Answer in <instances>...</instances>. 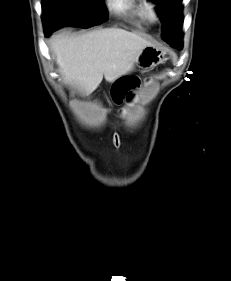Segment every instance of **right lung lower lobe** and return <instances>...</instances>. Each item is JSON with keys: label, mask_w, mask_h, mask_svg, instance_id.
Segmentation results:
<instances>
[{"label": "right lung lower lobe", "mask_w": 231, "mask_h": 281, "mask_svg": "<svg viewBox=\"0 0 231 281\" xmlns=\"http://www.w3.org/2000/svg\"><path fill=\"white\" fill-rule=\"evenodd\" d=\"M51 32H53V31L49 30V29H45L46 36H49L51 34Z\"/></svg>", "instance_id": "1"}]
</instances>
